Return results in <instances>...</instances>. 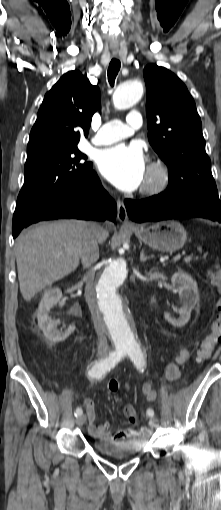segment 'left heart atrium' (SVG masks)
Returning a JSON list of instances; mask_svg holds the SVG:
<instances>
[{"label":"left heart atrium","instance_id":"39dd6f15","mask_svg":"<svg viewBox=\"0 0 221 510\" xmlns=\"http://www.w3.org/2000/svg\"><path fill=\"white\" fill-rule=\"evenodd\" d=\"M97 165L100 172L123 191L138 189L146 175L145 157L136 145L119 144L101 150Z\"/></svg>","mask_w":221,"mask_h":510}]
</instances>
